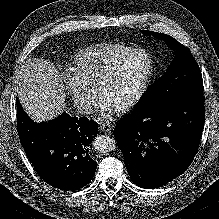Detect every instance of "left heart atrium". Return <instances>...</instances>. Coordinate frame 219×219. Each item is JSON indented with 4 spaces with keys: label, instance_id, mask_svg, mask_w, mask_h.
I'll return each mask as SVG.
<instances>
[{
    "label": "left heart atrium",
    "instance_id": "left-heart-atrium-1",
    "mask_svg": "<svg viewBox=\"0 0 219 219\" xmlns=\"http://www.w3.org/2000/svg\"><path fill=\"white\" fill-rule=\"evenodd\" d=\"M99 107L103 112L110 113L114 107H112L111 104H109L104 98H100L99 100Z\"/></svg>",
    "mask_w": 219,
    "mask_h": 219
}]
</instances>
